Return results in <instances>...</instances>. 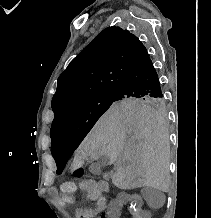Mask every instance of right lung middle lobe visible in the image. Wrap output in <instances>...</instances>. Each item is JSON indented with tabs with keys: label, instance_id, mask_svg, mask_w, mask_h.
Returning a JSON list of instances; mask_svg holds the SVG:
<instances>
[{
	"label": "right lung middle lobe",
	"instance_id": "right-lung-middle-lobe-1",
	"mask_svg": "<svg viewBox=\"0 0 211 218\" xmlns=\"http://www.w3.org/2000/svg\"><path fill=\"white\" fill-rule=\"evenodd\" d=\"M139 107L146 106L164 112L166 105L160 97H125L116 92L91 98L57 117L51 127L52 146L72 144L78 146L94 126L100 116L111 106ZM63 164H57V174H61Z\"/></svg>",
	"mask_w": 211,
	"mask_h": 218
}]
</instances>
